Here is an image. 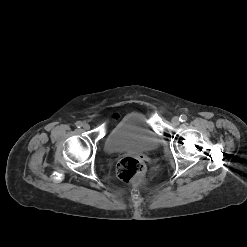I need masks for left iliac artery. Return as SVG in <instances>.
<instances>
[{
    "label": "left iliac artery",
    "mask_w": 247,
    "mask_h": 247,
    "mask_svg": "<svg viewBox=\"0 0 247 247\" xmlns=\"http://www.w3.org/2000/svg\"><path fill=\"white\" fill-rule=\"evenodd\" d=\"M179 119L181 122H185L187 120V116L182 114Z\"/></svg>",
    "instance_id": "left-iliac-artery-1"
}]
</instances>
